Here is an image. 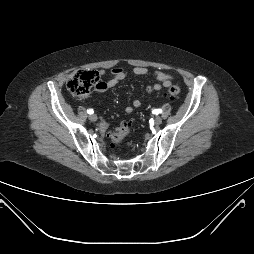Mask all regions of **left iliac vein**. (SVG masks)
Here are the masks:
<instances>
[{"label": "left iliac vein", "mask_w": 254, "mask_h": 254, "mask_svg": "<svg viewBox=\"0 0 254 254\" xmlns=\"http://www.w3.org/2000/svg\"><path fill=\"white\" fill-rule=\"evenodd\" d=\"M154 122H155V125L158 126V125H160V124L162 123V118L159 117V116H157V117L155 118Z\"/></svg>", "instance_id": "1"}]
</instances>
